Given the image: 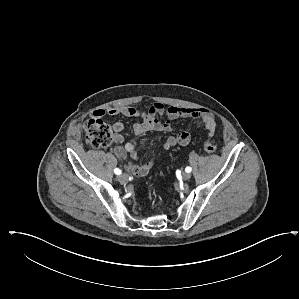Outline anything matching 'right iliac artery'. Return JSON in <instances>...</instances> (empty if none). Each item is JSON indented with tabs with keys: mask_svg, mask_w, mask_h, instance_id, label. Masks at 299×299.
Masks as SVG:
<instances>
[{
	"mask_svg": "<svg viewBox=\"0 0 299 299\" xmlns=\"http://www.w3.org/2000/svg\"><path fill=\"white\" fill-rule=\"evenodd\" d=\"M114 173L117 174V175H120L121 174V170L118 169V168H116V169H114Z\"/></svg>",
	"mask_w": 299,
	"mask_h": 299,
	"instance_id": "obj_1",
	"label": "right iliac artery"
}]
</instances>
